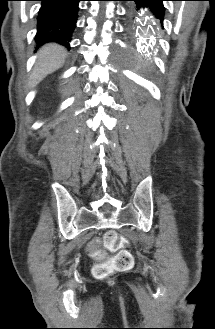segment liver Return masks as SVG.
Instances as JSON below:
<instances>
[{
	"mask_svg": "<svg viewBox=\"0 0 215 329\" xmlns=\"http://www.w3.org/2000/svg\"><path fill=\"white\" fill-rule=\"evenodd\" d=\"M65 53V49L57 44L44 45L38 53V59L30 76V87H35L48 74L59 69L64 63Z\"/></svg>",
	"mask_w": 215,
	"mask_h": 329,
	"instance_id": "obj_1",
	"label": "liver"
}]
</instances>
